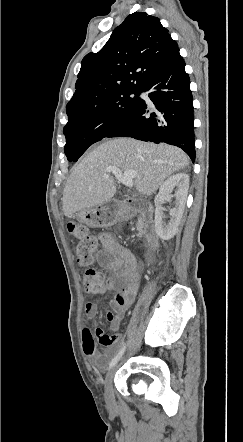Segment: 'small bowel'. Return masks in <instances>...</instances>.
Wrapping results in <instances>:
<instances>
[{"mask_svg":"<svg viewBox=\"0 0 243 442\" xmlns=\"http://www.w3.org/2000/svg\"><path fill=\"white\" fill-rule=\"evenodd\" d=\"M98 239L102 249L96 256V261L104 268L113 271L109 278V285L114 292V297L110 300L109 310L105 314L106 321L113 330H117L125 314L134 302L139 283L140 266L135 255L126 247L121 245L109 233H98ZM98 312L94 302H87L84 307V317L86 321L93 320ZM104 348L100 352L96 348L94 341ZM120 337L108 335L102 327H96L94 335L87 326L82 327V346L86 356L91 358L93 365L98 369H104L111 358L114 348L119 344Z\"/></svg>","mask_w":243,"mask_h":442,"instance_id":"small-bowel-1","label":"small bowel"}]
</instances>
